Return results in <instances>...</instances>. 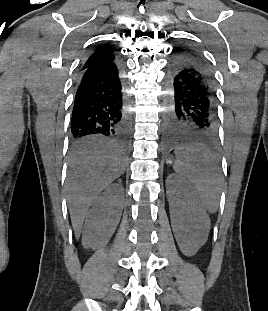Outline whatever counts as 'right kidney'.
<instances>
[{
  "instance_id": "right-kidney-1",
  "label": "right kidney",
  "mask_w": 268,
  "mask_h": 311,
  "mask_svg": "<svg viewBox=\"0 0 268 311\" xmlns=\"http://www.w3.org/2000/svg\"><path fill=\"white\" fill-rule=\"evenodd\" d=\"M124 204V188L121 183L108 186L95 200L82 232L85 248L97 249L105 245L120 221Z\"/></svg>"
}]
</instances>
